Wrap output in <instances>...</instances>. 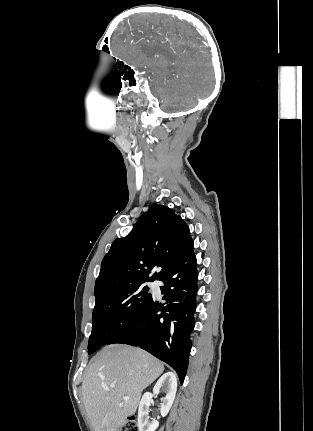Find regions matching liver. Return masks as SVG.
I'll use <instances>...</instances> for the list:
<instances>
[{
    "label": "liver",
    "instance_id": "6515ba94",
    "mask_svg": "<svg viewBox=\"0 0 313 431\" xmlns=\"http://www.w3.org/2000/svg\"><path fill=\"white\" fill-rule=\"evenodd\" d=\"M163 371V363L140 348L105 346L94 357L81 386L94 431H119L127 417L136 412L142 391Z\"/></svg>",
    "mask_w": 313,
    "mask_h": 431
}]
</instances>
